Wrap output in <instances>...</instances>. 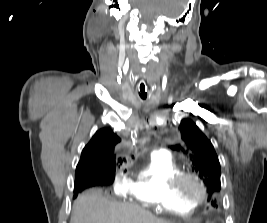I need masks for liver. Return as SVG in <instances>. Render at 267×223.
<instances>
[{"label": "liver", "instance_id": "liver-1", "mask_svg": "<svg viewBox=\"0 0 267 223\" xmlns=\"http://www.w3.org/2000/svg\"><path fill=\"white\" fill-rule=\"evenodd\" d=\"M70 223H171L137 205L109 201L99 190H89L75 200Z\"/></svg>", "mask_w": 267, "mask_h": 223}]
</instances>
